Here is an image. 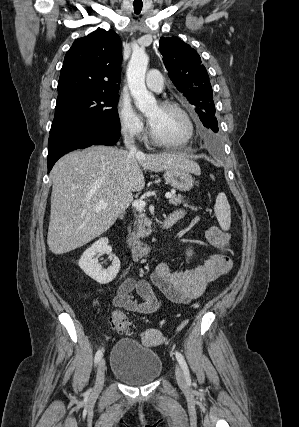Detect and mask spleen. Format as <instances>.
Instances as JSON below:
<instances>
[{
	"label": "spleen",
	"mask_w": 299,
	"mask_h": 427,
	"mask_svg": "<svg viewBox=\"0 0 299 427\" xmlns=\"http://www.w3.org/2000/svg\"><path fill=\"white\" fill-rule=\"evenodd\" d=\"M210 176L214 180V176ZM214 212L220 227L224 231L229 230L231 224V209L225 193L221 192L217 195Z\"/></svg>",
	"instance_id": "3e777b00"
}]
</instances>
